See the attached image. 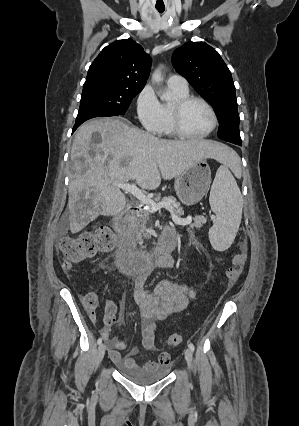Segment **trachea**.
<instances>
[{"label": "trachea", "mask_w": 299, "mask_h": 426, "mask_svg": "<svg viewBox=\"0 0 299 426\" xmlns=\"http://www.w3.org/2000/svg\"><path fill=\"white\" fill-rule=\"evenodd\" d=\"M159 13H163L165 9H157Z\"/></svg>", "instance_id": "trachea-1"}]
</instances>
